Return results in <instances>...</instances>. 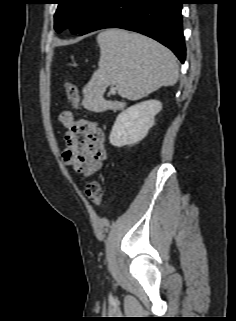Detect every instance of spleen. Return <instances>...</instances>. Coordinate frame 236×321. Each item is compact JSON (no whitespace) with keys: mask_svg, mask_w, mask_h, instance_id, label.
Returning a JSON list of instances; mask_svg holds the SVG:
<instances>
[{"mask_svg":"<svg viewBox=\"0 0 236 321\" xmlns=\"http://www.w3.org/2000/svg\"><path fill=\"white\" fill-rule=\"evenodd\" d=\"M97 42L99 68L83 88L82 104L88 110L102 112L125 107V103L103 99L108 85H115L122 97L137 100L161 86H172L178 80L175 55L148 37L110 29L100 33Z\"/></svg>","mask_w":236,"mask_h":321,"instance_id":"spleen-1","label":"spleen"}]
</instances>
